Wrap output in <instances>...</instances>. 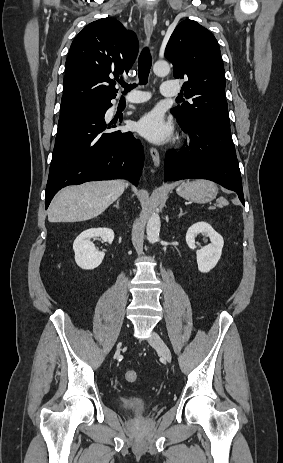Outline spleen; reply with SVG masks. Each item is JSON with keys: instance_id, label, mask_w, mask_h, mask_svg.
Instances as JSON below:
<instances>
[{"instance_id": "obj_1", "label": "spleen", "mask_w": 283, "mask_h": 463, "mask_svg": "<svg viewBox=\"0 0 283 463\" xmlns=\"http://www.w3.org/2000/svg\"><path fill=\"white\" fill-rule=\"evenodd\" d=\"M218 202H220L221 204H225L226 200L223 197H221L218 199Z\"/></svg>"}]
</instances>
